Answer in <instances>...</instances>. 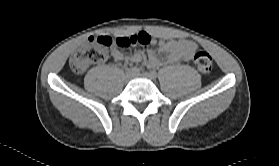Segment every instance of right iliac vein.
<instances>
[{
  "label": "right iliac vein",
  "instance_id": "1",
  "mask_svg": "<svg viewBox=\"0 0 279 166\" xmlns=\"http://www.w3.org/2000/svg\"><path fill=\"white\" fill-rule=\"evenodd\" d=\"M134 76V73L131 70H128L125 74V80L129 81Z\"/></svg>",
  "mask_w": 279,
  "mask_h": 166
}]
</instances>
